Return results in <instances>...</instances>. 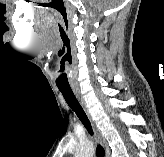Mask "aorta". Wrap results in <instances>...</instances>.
<instances>
[{"instance_id": "obj_1", "label": "aorta", "mask_w": 164, "mask_h": 157, "mask_svg": "<svg viewBox=\"0 0 164 157\" xmlns=\"http://www.w3.org/2000/svg\"><path fill=\"white\" fill-rule=\"evenodd\" d=\"M94 145L90 141L83 142L79 145L74 157H93Z\"/></svg>"}]
</instances>
